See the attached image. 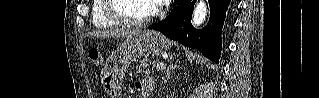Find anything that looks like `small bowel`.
Here are the masks:
<instances>
[{
  "label": "small bowel",
  "instance_id": "1",
  "mask_svg": "<svg viewBox=\"0 0 319 98\" xmlns=\"http://www.w3.org/2000/svg\"><path fill=\"white\" fill-rule=\"evenodd\" d=\"M153 79L145 78L135 83V88L140 94V97H146V95L152 90Z\"/></svg>",
  "mask_w": 319,
  "mask_h": 98
}]
</instances>
